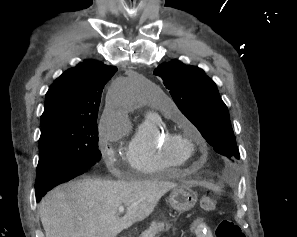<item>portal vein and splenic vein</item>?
I'll return each instance as SVG.
<instances>
[{"mask_svg": "<svg viewBox=\"0 0 297 237\" xmlns=\"http://www.w3.org/2000/svg\"><path fill=\"white\" fill-rule=\"evenodd\" d=\"M124 210H125L124 206L119 207V212H124Z\"/></svg>", "mask_w": 297, "mask_h": 237, "instance_id": "18ae733b", "label": "portal vein and splenic vein"}]
</instances>
